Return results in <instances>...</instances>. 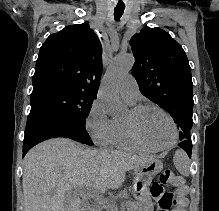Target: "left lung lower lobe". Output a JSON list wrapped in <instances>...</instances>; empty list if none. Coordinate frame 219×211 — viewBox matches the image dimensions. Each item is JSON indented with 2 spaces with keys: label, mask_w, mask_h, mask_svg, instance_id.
Instances as JSON below:
<instances>
[{
  "label": "left lung lower lobe",
  "mask_w": 219,
  "mask_h": 211,
  "mask_svg": "<svg viewBox=\"0 0 219 211\" xmlns=\"http://www.w3.org/2000/svg\"><path fill=\"white\" fill-rule=\"evenodd\" d=\"M178 146L184 149L187 152L188 156L191 157L192 141L190 139L183 140L178 144Z\"/></svg>",
  "instance_id": "0a47b994"
}]
</instances>
